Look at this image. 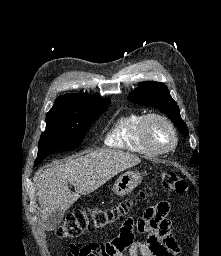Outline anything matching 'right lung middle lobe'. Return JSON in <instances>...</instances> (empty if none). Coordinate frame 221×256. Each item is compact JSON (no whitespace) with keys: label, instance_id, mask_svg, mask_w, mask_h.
Segmentation results:
<instances>
[{"label":"right lung middle lobe","instance_id":"right-lung-middle-lobe-1","mask_svg":"<svg viewBox=\"0 0 221 256\" xmlns=\"http://www.w3.org/2000/svg\"><path fill=\"white\" fill-rule=\"evenodd\" d=\"M109 104V99H98L80 106L75 112L47 113L46 130L41 134L34 165L53 151L78 147L91 124L108 109Z\"/></svg>","mask_w":221,"mask_h":256}]
</instances>
